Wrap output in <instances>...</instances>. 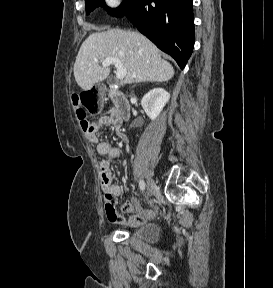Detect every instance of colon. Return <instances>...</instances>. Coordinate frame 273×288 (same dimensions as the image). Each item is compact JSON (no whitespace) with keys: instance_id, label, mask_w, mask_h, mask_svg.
Returning a JSON list of instances; mask_svg holds the SVG:
<instances>
[{"instance_id":"1","label":"colon","mask_w":273,"mask_h":288,"mask_svg":"<svg viewBox=\"0 0 273 288\" xmlns=\"http://www.w3.org/2000/svg\"><path fill=\"white\" fill-rule=\"evenodd\" d=\"M72 100L80 125L87 130L90 126L88 116L99 114L103 107L100 90L93 88L74 94Z\"/></svg>"}]
</instances>
